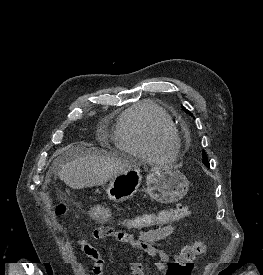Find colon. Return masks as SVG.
I'll list each match as a JSON object with an SVG mask.
<instances>
[{"label":"colon","mask_w":263,"mask_h":275,"mask_svg":"<svg viewBox=\"0 0 263 275\" xmlns=\"http://www.w3.org/2000/svg\"><path fill=\"white\" fill-rule=\"evenodd\" d=\"M65 211L63 205L58 206L57 213L62 214ZM188 205L179 204L172 208L162 209L157 212L145 213L119 220L120 223L133 230H142L158 225H166L179 221L190 215ZM85 216L94 222H108L115 220L112 210L105 205H95L84 211ZM127 233V232H126ZM117 238L127 239L122 232H118ZM205 252V245L202 242H195L184 246L176 254L170 263L169 273L171 275H187L193 268L195 260Z\"/></svg>","instance_id":"5ec220e1"}]
</instances>
